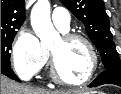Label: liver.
I'll return each mask as SVG.
<instances>
[{
  "mask_svg": "<svg viewBox=\"0 0 121 94\" xmlns=\"http://www.w3.org/2000/svg\"><path fill=\"white\" fill-rule=\"evenodd\" d=\"M1 94H82L79 90H45L19 84L4 75H1Z\"/></svg>",
  "mask_w": 121,
  "mask_h": 94,
  "instance_id": "liver-1",
  "label": "liver"
}]
</instances>
